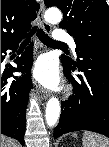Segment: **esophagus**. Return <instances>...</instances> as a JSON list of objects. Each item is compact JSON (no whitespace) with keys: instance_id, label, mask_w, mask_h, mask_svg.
Segmentation results:
<instances>
[{"instance_id":"34e87169","label":"esophagus","mask_w":109,"mask_h":147,"mask_svg":"<svg viewBox=\"0 0 109 147\" xmlns=\"http://www.w3.org/2000/svg\"><path fill=\"white\" fill-rule=\"evenodd\" d=\"M44 10H45L44 3L41 2V5H40V9H39L37 18H38V20H39V22H40V24H41L43 30L45 31V33L50 34L52 28H51V25L48 24V23L44 20ZM39 95H40V97H41L42 99H45V100L50 96L49 92L46 91V90L43 89V88H41V89L39 90Z\"/></svg>"}]
</instances>
